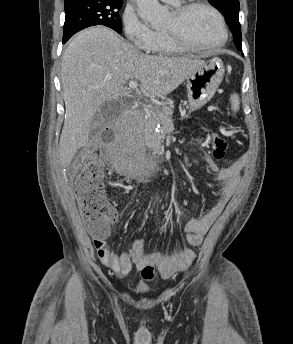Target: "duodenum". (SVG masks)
Instances as JSON below:
<instances>
[{"label": "duodenum", "instance_id": "410a0bca", "mask_svg": "<svg viewBox=\"0 0 293 344\" xmlns=\"http://www.w3.org/2000/svg\"><path fill=\"white\" fill-rule=\"evenodd\" d=\"M132 120V118L130 117V115L125 114L123 115L120 120L118 121V125L123 124L124 122H130Z\"/></svg>", "mask_w": 293, "mask_h": 344}]
</instances>
